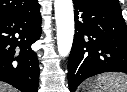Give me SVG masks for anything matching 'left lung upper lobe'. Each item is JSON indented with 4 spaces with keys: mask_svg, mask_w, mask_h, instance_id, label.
<instances>
[{
    "mask_svg": "<svg viewBox=\"0 0 127 92\" xmlns=\"http://www.w3.org/2000/svg\"><path fill=\"white\" fill-rule=\"evenodd\" d=\"M79 1L104 9L121 11L118 0H79Z\"/></svg>",
    "mask_w": 127,
    "mask_h": 92,
    "instance_id": "5c2ea615",
    "label": "left lung upper lobe"
}]
</instances>
